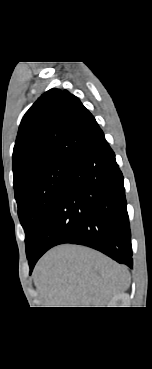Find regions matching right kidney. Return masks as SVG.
I'll use <instances>...</instances> for the list:
<instances>
[{
  "instance_id": "right-kidney-1",
  "label": "right kidney",
  "mask_w": 152,
  "mask_h": 369,
  "mask_svg": "<svg viewBox=\"0 0 152 369\" xmlns=\"http://www.w3.org/2000/svg\"><path fill=\"white\" fill-rule=\"evenodd\" d=\"M123 300H124L123 294L116 295L110 300L109 305L107 306L108 307H122Z\"/></svg>"
}]
</instances>
